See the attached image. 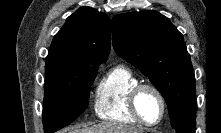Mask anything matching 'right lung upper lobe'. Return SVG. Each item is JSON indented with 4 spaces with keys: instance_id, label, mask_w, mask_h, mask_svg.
Instances as JSON below:
<instances>
[{
    "instance_id": "1",
    "label": "right lung upper lobe",
    "mask_w": 221,
    "mask_h": 133,
    "mask_svg": "<svg viewBox=\"0 0 221 133\" xmlns=\"http://www.w3.org/2000/svg\"><path fill=\"white\" fill-rule=\"evenodd\" d=\"M109 17L91 7H81L54 36L46 57L45 73L76 65L104 63L110 51Z\"/></svg>"
}]
</instances>
